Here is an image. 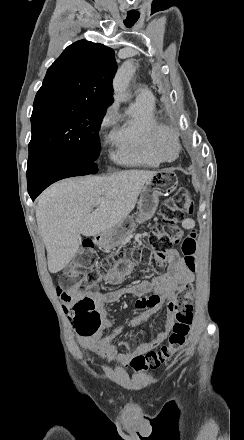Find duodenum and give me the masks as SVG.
<instances>
[{"instance_id":"duodenum-1","label":"duodenum","mask_w":244,"mask_h":440,"mask_svg":"<svg viewBox=\"0 0 244 440\" xmlns=\"http://www.w3.org/2000/svg\"><path fill=\"white\" fill-rule=\"evenodd\" d=\"M111 239H112V234H111V232L101 233V234H98V235L95 237V242H96L98 245L104 247V246H108V245H109V243L111 242Z\"/></svg>"}]
</instances>
